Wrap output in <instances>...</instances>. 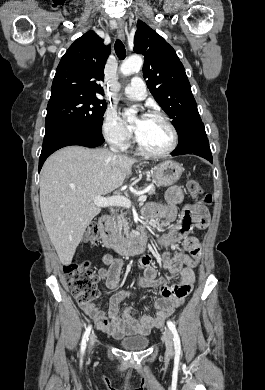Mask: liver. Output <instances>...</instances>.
<instances>
[{"label": "liver", "instance_id": "1", "mask_svg": "<svg viewBox=\"0 0 265 390\" xmlns=\"http://www.w3.org/2000/svg\"><path fill=\"white\" fill-rule=\"evenodd\" d=\"M137 160L108 149L67 146L44 163L40 179V208L50 241L63 265L101 207L92 204L122 185Z\"/></svg>", "mask_w": 265, "mask_h": 390}]
</instances>
